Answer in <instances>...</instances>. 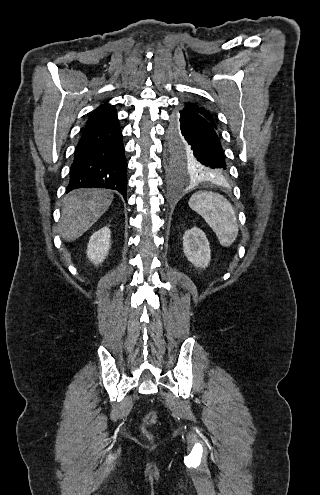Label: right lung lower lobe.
<instances>
[{
	"label": "right lung lower lobe",
	"mask_w": 320,
	"mask_h": 495,
	"mask_svg": "<svg viewBox=\"0 0 320 495\" xmlns=\"http://www.w3.org/2000/svg\"><path fill=\"white\" fill-rule=\"evenodd\" d=\"M119 120L84 127L74 152L67 192L97 187L119 191L126 200L127 160Z\"/></svg>",
	"instance_id": "right-lung-lower-lobe-1"
}]
</instances>
